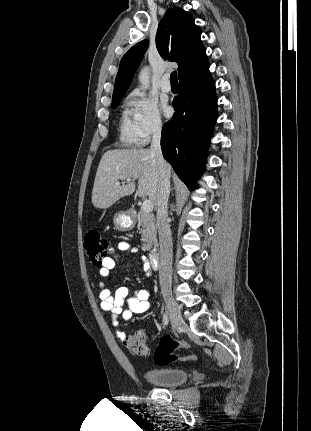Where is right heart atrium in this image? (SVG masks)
I'll use <instances>...</instances> for the list:
<instances>
[{
  "label": "right heart atrium",
  "instance_id": "right-heart-atrium-1",
  "mask_svg": "<svg viewBox=\"0 0 311 431\" xmlns=\"http://www.w3.org/2000/svg\"><path fill=\"white\" fill-rule=\"evenodd\" d=\"M126 104L131 107V116L139 128V143L147 144L159 136L165 128V120L158 104L139 90L132 91L126 97Z\"/></svg>",
  "mask_w": 311,
  "mask_h": 431
}]
</instances>
